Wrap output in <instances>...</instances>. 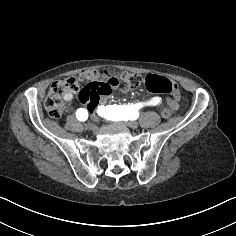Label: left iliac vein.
I'll return each mask as SVG.
<instances>
[{
  "instance_id": "left-iliac-vein-1",
  "label": "left iliac vein",
  "mask_w": 236,
  "mask_h": 236,
  "mask_svg": "<svg viewBox=\"0 0 236 236\" xmlns=\"http://www.w3.org/2000/svg\"><path fill=\"white\" fill-rule=\"evenodd\" d=\"M138 123L135 121V120H132L129 124H128V127L131 129V130H134L136 128H138Z\"/></svg>"
}]
</instances>
